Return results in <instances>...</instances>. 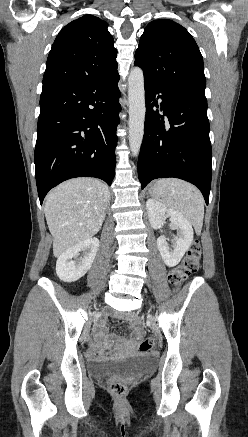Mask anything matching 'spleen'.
Here are the masks:
<instances>
[{
  "mask_svg": "<svg viewBox=\"0 0 248 437\" xmlns=\"http://www.w3.org/2000/svg\"><path fill=\"white\" fill-rule=\"evenodd\" d=\"M153 197L180 213L197 232H201L204 218V199L192 184L175 179L164 178L156 182Z\"/></svg>",
  "mask_w": 248,
  "mask_h": 437,
  "instance_id": "1",
  "label": "spleen"
}]
</instances>
